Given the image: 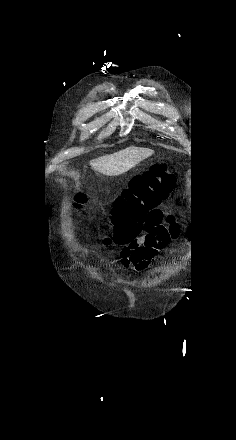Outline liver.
I'll use <instances>...</instances> for the list:
<instances>
[{
	"instance_id": "obj_1",
	"label": "liver",
	"mask_w": 236,
	"mask_h": 440,
	"mask_svg": "<svg viewBox=\"0 0 236 440\" xmlns=\"http://www.w3.org/2000/svg\"><path fill=\"white\" fill-rule=\"evenodd\" d=\"M154 153L151 149L129 147L90 162L91 167L106 176L121 175Z\"/></svg>"
}]
</instances>
